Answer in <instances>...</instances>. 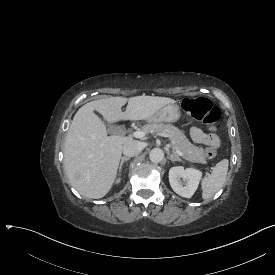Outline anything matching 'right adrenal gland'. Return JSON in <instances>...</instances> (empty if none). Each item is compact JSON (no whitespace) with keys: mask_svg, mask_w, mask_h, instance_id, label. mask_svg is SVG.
<instances>
[{"mask_svg":"<svg viewBox=\"0 0 275 275\" xmlns=\"http://www.w3.org/2000/svg\"><path fill=\"white\" fill-rule=\"evenodd\" d=\"M130 160L129 157H122L121 158V162H120V166H119V172H121V169H122V166H123V163Z\"/></svg>","mask_w":275,"mask_h":275,"instance_id":"obj_1","label":"right adrenal gland"}]
</instances>
